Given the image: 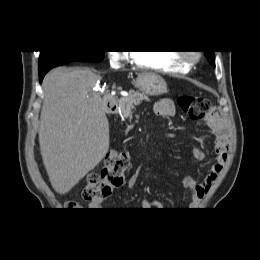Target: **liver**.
<instances>
[{"label":"liver","mask_w":260,"mask_h":260,"mask_svg":"<svg viewBox=\"0 0 260 260\" xmlns=\"http://www.w3.org/2000/svg\"><path fill=\"white\" fill-rule=\"evenodd\" d=\"M101 78L89 69L59 67L43 80L40 152L59 194L68 193L108 152L109 122L96 90Z\"/></svg>","instance_id":"obj_1"}]
</instances>
